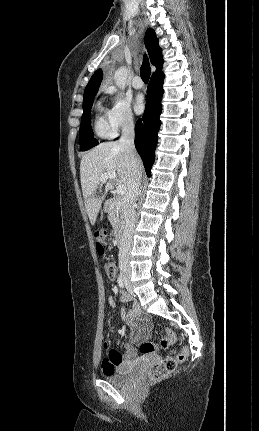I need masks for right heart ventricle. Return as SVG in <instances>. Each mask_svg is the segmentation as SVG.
<instances>
[{"instance_id": "e07e8e85", "label": "right heart ventricle", "mask_w": 259, "mask_h": 431, "mask_svg": "<svg viewBox=\"0 0 259 431\" xmlns=\"http://www.w3.org/2000/svg\"><path fill=\"white\" fill-rule=\"evenodd\" d=\"M95 133L102 138L112 137L114 132L110 128L106 116L103 114V109L100 103L96 105V115L94 119Z\"/></svg>"}]
</instances>
